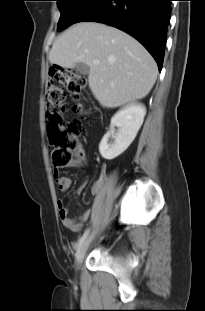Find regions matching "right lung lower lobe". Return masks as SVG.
<instances>
[{
    "instance_id": "right-lung-lower-lobe-1",
    "label": "right lung lower lobe",
    "mask_w": 205,
    "mask_h": 311,
    "mask_svg": "<svg viewBox=\"0 0 205 311\" xmlns=\"http://www.w3.org/2000/svg\"><path fill=\"white\" fill-rule=\"evenodd\" d=\"M172 0H94L75 23L100 22L136 38L162 68Z\"/></svg>"
}]
</instances>
